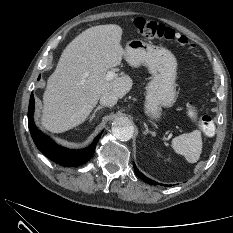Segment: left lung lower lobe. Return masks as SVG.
<instances>
[{"instance_id": "obj_1", "label": "left lung lower lobe", "mask_w": 233, "mask_h": 233, "mask_svg": "<svg viewBox=\"0 0 233 233\" xmlns=\"http://www.w3.org/2000/svg\"><path fill=\"white\" fill-rule=\"evenodd\" d=\"M133 166H134L135 173H136V175H137L138 177H140L141 179H143L145 182H147V183H149V184L156 185V182H154V181H152L151 179L145 177L141 172H139L134 163H133Z\"/></svg>"}]
</instances>
